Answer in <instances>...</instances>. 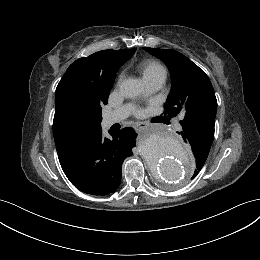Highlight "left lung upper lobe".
<instances>
[{
	"instance_id": "left-lung-upper-lobe-1",
	"label": "left lung upper lobe",
	"mask_w": 260,
	"mask_h": 260,
	"mask_svg": "<svg viewBox=\"0 0 260 260\" xmlns=\"http://www.w3.org/2000/svg\"><path fill=\"white\" fill-rule=\"evenodd\" d=\"M145 50L162 58L172 75L171 91L164 104L165 115L171 117L180 112L184 113V119L180 121L183 129H190L212 143L217 100L208 76L176 50L149 47H145ZM205 161L206 158L196 159L195 170L199 172Z\"/></svg>"
}]
</instances>
